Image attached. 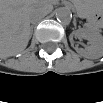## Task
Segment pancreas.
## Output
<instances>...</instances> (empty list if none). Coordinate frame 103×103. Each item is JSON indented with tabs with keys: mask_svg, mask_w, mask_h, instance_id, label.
<instances>
[{
	"mask_svg": "<svg viewBox=\"0 0 103 103\" xmlns=\"http://www.w3.org/2000/svg\"><path fill=\"white\" fill-rule=\"evenodd\" d=\"M79 13H80L81 16L84 17V18H89V17H90V14H89L88 12H85V11L80 10Z\"/></svg>",
	"mask_w": 103,
	"mask_h": 103,
	"instance_id": "cf45deb5",
	"label": "pancreas"
}]
</instances>
